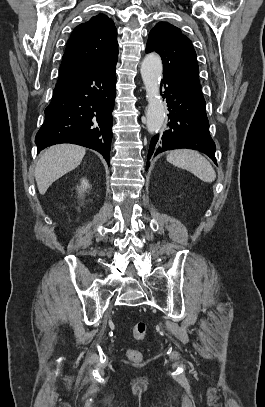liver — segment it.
Listing matches in <instances>:
<instances>
[{
	"instance_id": "1",
	"label": "liver",
	"mask_w": 265,
	"mask_h": 407,
	"mask_svg": "<svg viewBox=\"0 0 265 407\" xmlns=\"http://www.w3.org/2000/svg\"><path fill=\"white\" fill-rule=\"evenodd\" d=\"M86 149L74 144H59L46 149L35 168V179L40 194L63 175L80 165Z\"/></svg>"
}]
</instances>
